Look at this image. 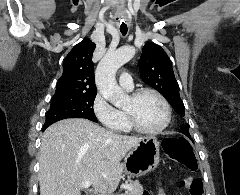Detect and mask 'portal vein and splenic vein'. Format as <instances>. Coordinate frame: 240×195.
I'll list each match as a JSON object with an SVG mask.
<instances>
[{
  "label": "portal vein and splenic vein",
  "instance_id": "18ae733b",
  "mask_svg": "<svg viewBox=\"0 0 240 195\" xmlns=\"http://www.w3.org/2000/svg\"><path fill=\"white\" fill-rule=\"evenodd\" d=\"M92 181H83L82 187H90Z\"/></svg>",
  "mask_w": 240,
  "mask_h": 195
}]
</instances>
